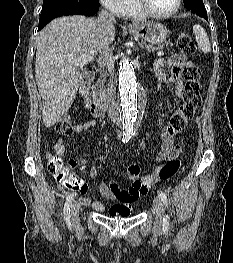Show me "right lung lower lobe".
I'll list each match as a JSON object with an SVG mask.
<instances>
[{"label":"right lung lower lobe","mask_w":233,"mask_h":263,"mask_svg":"<svg viewBox=\"0 0 233 263\" xmlns=\"http://www.w3.org/2000/svg\"><path fill=\"white\" fill-rule=\"evenodd\" d=\"M99 7H92L88 4H83L77 10L74 14H81L85 16H90L95 14L98 11ZM73 15V14H72ZM48 22L39 23L38 30H41L45 25H47Z\"/></svg>","instance_id":"1"}]
</instances>
